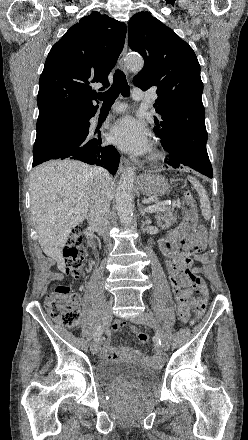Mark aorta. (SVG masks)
I'll return each mask as SVG.
<instances>
[{
    "mask_svg": "<svg viewBox=\"0 0 248 440\" xmlns=\"http://www.w3.org/2000/svg\"><path fill=\"white\" fill-rule=\"evenodd\" d=\"M144 62L141 57L130 56L126 60V67L132 71L143 68ZM135 177V168L129 167L121 175L116 192V210L119 220L124 225H130L133 221V197L132 185Z\"/></svg>",
    "mask_w": 248,
    "mask_h": 440,
    "instance_id": "obj_1",
    "label": "aorta"
}]
</instances>
